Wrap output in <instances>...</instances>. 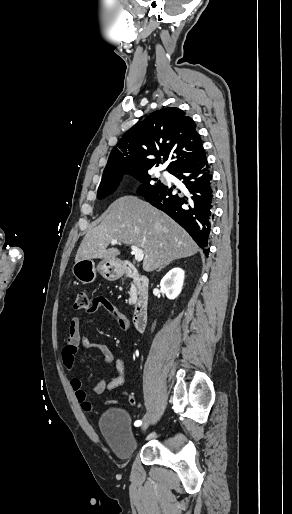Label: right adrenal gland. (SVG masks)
<instances>
[{"instance_id":"obj_1","label":"right adrenal gland","mask_w":292,"mask_h":514,"mask_svg":"<svg viewBox=\"0 0 292 514\" xmlns=\"http://www.w3.org/2000/svg\"><path fill=\"white\" fill-rule=\"evenodd\" d=\"M171 264V262H169ZM169 264H165V266H162V268H166V266H169ZM162 268H159V270H162Z\"/></svg>"}]
</instances>
